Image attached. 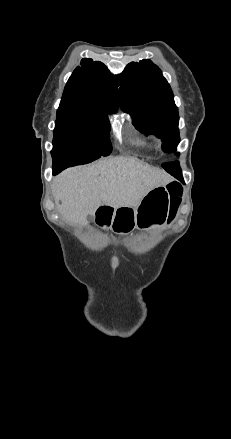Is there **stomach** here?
I'll return each instance as SVG.
<instances>
[{"mask_svg":"<svg viewBox=\"0 0 231 439\" xmlns=\"http://www.w3.org/2000/svg\"><path fill=\"white\" fill-rule=\"evenodd\" d=\"M127 209V214L118 213ZM117 212V213H116ZM170 200L166 186L150 190L136 207H121L115 209L113 229L117 233H128L135 228L162 225L169 217ZM117 214L119 215L117 217Z\"/></svg>","mask_w":231,"mask_h":439,"instance_id":"stomach-1","label":"stomach"}]
</instances>
